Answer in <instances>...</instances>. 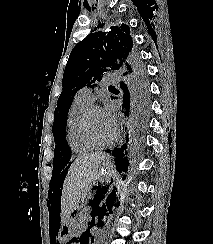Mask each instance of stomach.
Instances as JSON below:
<instances>
[{
	"mask_svg": "<svg viewBox=\"0 0 213 244\" xmlns=\"http://www.w3.org/2000/svg\"><path fill=\"white\" fill-rule=\"evenodd\" d=\"M107 177L108 173L106 171H99L96 176V182H103ZM80 230V221L77 218V210H74L61 226L60 236L64 238L61 240V243L65 244V239H73L74 234L78 233Z\"/></svg>",
	"mask_w": 213,
	"mask_h": 244,
	"instance_id": "1",
	"label": "stomach"
}]
</instances>
